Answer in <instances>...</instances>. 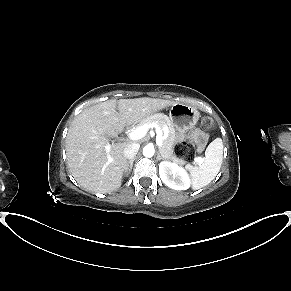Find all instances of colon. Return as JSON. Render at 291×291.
<instances>
[{
    "label": "colon",
    "instance_id": "5ec220e1",
    "mask_svg": "<svg viewBox=\"0 0 291 291\" xmlns=\"http://www.w3.org/2000/svg\"><path fill=\"white\" fill-rule=\"evenodd\" d=\"M212 126L213 124L208 118L203 119L200 124L202 130H209ZM174 153L181 160H190L195 156L196 146L192 141H184L176 145Z\"/></svg>",
    "mask_w": 291,
    "mask_h": 291
}]
</instances>
